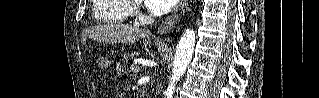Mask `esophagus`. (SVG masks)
<instances>
[{
	"label": "esophagus",
	"instance_id": "34e87169",
	"mask_svg": "<svg viewBox=\"0 0 319 98\" xmlns=\"http://www.w3.org/2000/svg\"><path fill=\"white\" fill-rule=\"evenodd\" d=\"M188 0H179L173 12L168 16L158 28V33L165 36L167 42L171 41L170 32L184 15Z\"/></svg>",
	"mask_w": 319,
	"mask_h": 98
}]
</instances>
